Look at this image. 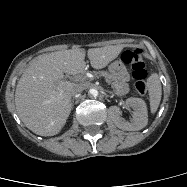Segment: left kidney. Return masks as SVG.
<instances>
[{"label":"left kidney","instance_id":"1","mask_svg":"<svg viewBox=\"0 0 187 187\" xmlns=\"http://www.w3.org/2000/svg\"><path fill=\"white\" fill-rule=\"evenodd\" d=\"M127 106L134 110V116L131 122H127L120 116V109L117 106H111L109 108L110 116L114 124L123 130L134 131L140 130L147 125L148 115L145 102L140 98H128L126 100Z\"/></svg>","mask_w":187,"mask_h":187}]
</instances>
